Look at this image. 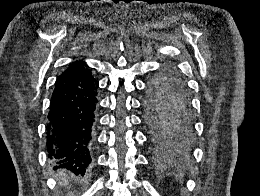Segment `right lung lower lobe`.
I'll list each match as a JSON object with an SVG mask.
<instances>
[{"label":"right lung lower lobe","mask_w":260,"mask_h":196,"mask_svg":"<svg viewBox=\"0 0 260 196\" xmlns=\"http://www.w3.org/2000/svg\"><path fill=\"white\" fill-rule=\"evenodd\" d=\"M98 81L89 69L57 79L47 116L46 149L54 169L84 175L92 161Z\"/></svg>","instance_id":"98d812e1"}]
</instances>
